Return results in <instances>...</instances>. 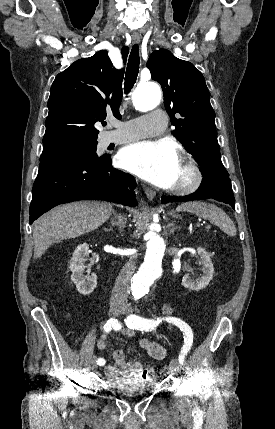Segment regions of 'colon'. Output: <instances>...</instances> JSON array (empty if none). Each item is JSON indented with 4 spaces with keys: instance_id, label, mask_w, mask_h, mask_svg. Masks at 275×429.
I'll use <instances>...</instances> for the list:
<instances>
[{
    "instance_id": "5ec220e1",
    "label": "colon",
    "mask_w": 275,
    "mask_h": 429,
    "mask_svg": "<svg viewBox=\"0 0 275 429\" xmlns=\"http://www.w3.org/2000/svg\"><path fill=\"white\" fill-rule=\"evenodd\" d=\"M154 374H155L154 368L150 364H148L145 370V376L149 378L154 376Z\"/></svg>"
}]
</instances>
